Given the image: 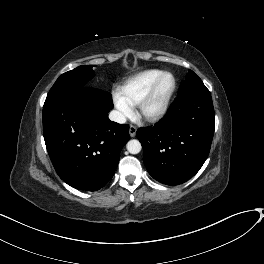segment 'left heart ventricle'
Returning a JSON list of instances; mask_svg holds the SVG:
<instances>
[{
	"label": "left heart ventricle",
	"instance_id": "left-heart-ventricle-1",
	"mask_svg": "<svg viewBox=\"0 0 264 264\" xmlns=\"http://www.w3.org/2000/svg\"><path fill=\"white\" fill-rule=\"evenodd\" d=\"M170 86H171L170 78L168 77L164 78L160 83L155 96L147 105L146 107L147 111H153L159 106V104L162 102L163 98L165 97L166 93L168 92Z\"/></svg>",
	"mask_w": 264,
	"mask_h": 264
}]
</instances>
